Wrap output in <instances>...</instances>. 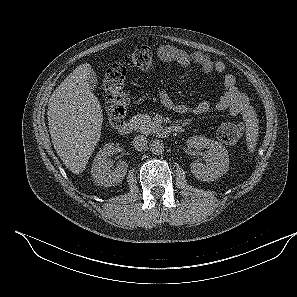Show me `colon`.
<instances>
[{"instance_id":"1","label":"colon","mask_w":297,"mask_h":297,"mask_svg":"<svg viewBox=\"0 0 297 297\" xmlns=\"http://www.w3.org/2000/svg\"><path fill=\"white\" fill-rule=\"evenodd\" d=\"M153 53L147 46H140L128 53L122 62L113 63L107 70L103 80L106 92V117L111 127L123 123L126 115L128 95L126 87L127 68L149 70L153 67ZM244 133L241 122H223L216 129L217 138L225 144H234Z\"/></svg>"}]
</instances>
